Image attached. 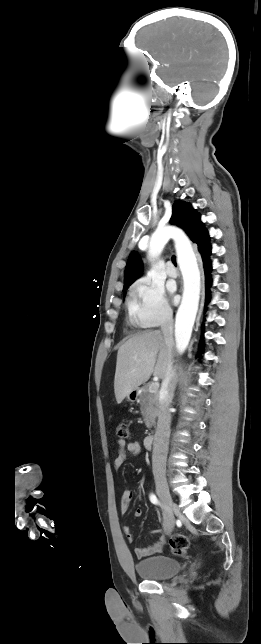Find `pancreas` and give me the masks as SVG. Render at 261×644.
Here are the masks:
<instances>
[{"mask_svg": "<svg viewBox=\"0 0 261 644\" xmlns=\"http://www.w3.org/2000/svg\"><path fill=\"white\" fill-rule=\"evenodd\" d=\"M140 409L147 428L154 426L158 413V393H150L145 386L140 395Z\"/></svg>", "mask_w": 261, "mask_h": 644, "instance_id": "obj_1", "label": "pancreas"}]
</instances>
